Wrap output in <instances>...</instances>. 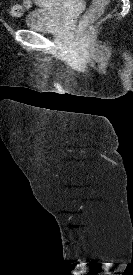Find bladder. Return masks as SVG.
Returning <instances> with one entry per match:
<instances>
[{
  "instance_id": "obj_1",
  "label": "bladder",
  "mask_w": 133,
  "mask_h": 275,
  "mask_svg": "<svg viewBox=\"0 0 133 275\" xmlns=\"http://www.w3.org/2000/svg\"><path fill=\"white\" fill-rule=\"evenodd\" d=\"M52 0V4L38 7L28 13L24 27L40 32H57L63 22L62 2Z\"/></svg>"
}]
</instances>
